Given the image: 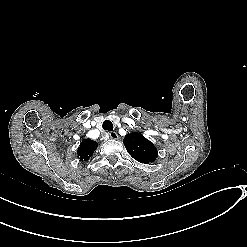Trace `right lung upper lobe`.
<instances>
[{
    "label": "right lung upper lobe",
    "mask_w": 247,
    "mask_h": 247,
    "mask_svg": "<svg viewBox=\"0 0 247 247\" xmlns=\"http://www.w3.org/2000/svg\"><path fill=\"white\" fill-rule=\"evenodd\" d=\"M97 148V142L90 140V139H84L80 146L78 147V156L81 161H87L92 155L93 152Z\"/></svg>",
    "instance_id": "obj_1"
}]
</instances>
